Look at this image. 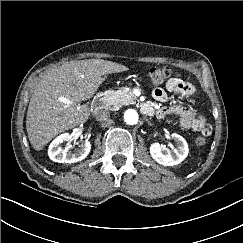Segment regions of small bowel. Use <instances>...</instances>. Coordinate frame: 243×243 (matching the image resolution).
<instances>
[{"mask_svg":"<svg viewBox=\"0 0 243 243\" xmlns=\"http://www.w3.org/2000/svg\"><path fill=\"white\" fill-rule=\"evenodd\" d=\"M169 93L191 97L196 94V88L191 82L184 80L177 74L167 81L165 87H156L152 92V96L158 102H165ZM147 105L152 109V113L148 115H153L155 113L156 116L161 119L169 114H175L179 116L183 128L199 132L203 136H209L212 133V128L205 118L188 106L174 105L160 107L155 110L152 104L147 103Z\"/></svg>","mask_w":243,"mask_h":243,"instance_id":"obj_1","label":"small bowel"}]
</instances>
